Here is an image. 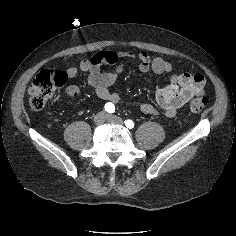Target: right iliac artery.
<instances>
[{"mask_svg":"<svg viewBox=\"0 0 236 236\" xmlns=\"http://www.w3.org/2000/svg\"><path fill=\"white\" fill-rule=\"evenodd\" d=\"M104 108H105V111L108 113L115 112V106L112 103H106Z\"/></svg>","mask_w":236,"mask_h":236,"instance_id":"1","label":"right iliac artery"}]
</instances>
